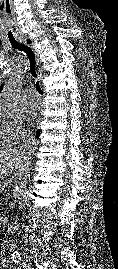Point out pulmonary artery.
I'll return each mask as SVG.
<instances>
[{
    "label": "pulmonary artery",
    "mask_w": 118,
    "mask_h": 269,
    "mask_svg": "<svg viewBox=\"0 0 118 269\" xmlns=\"http://www.w3.org/2000/svg\"><path fill=\"white\" fill-rule=\"evenodd\" d=\"M38 103H39V99H38V97L29 96V97L27 98V104H28V105L33 106V105H37Z\"/></svg>",
    "instance_id": "pulmonary-artery-1"
}]
</instances>
